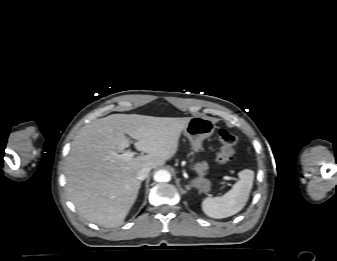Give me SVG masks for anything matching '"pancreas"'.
Returning <instances> with one entry per match:
<instances>
[{
  "mask_svg": "<svg viewBox=\"0 0 337 261\" xmlns=\"http://www.w3.org/2000/svg\"><path fill=\"white\" fill-rule=\"evenodd\" d=\"M207 167H208V166H207V163L204 162V163H202V164H197L195 168H196L198 171H200V170L204 171V170L207 169Z\"/></svg>",
  "mask_w": 337,
  "mask_h": 261,
  "instance_id": "obj_1",
  "label": "pancreas"
}]
</instances>
